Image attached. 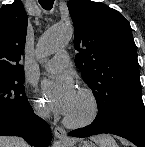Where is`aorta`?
<instances>
[{
    "mask_svg": "<svg viewBox=\"0 0 145 147\" xmlns=\"http://www.w3.org/2000/svg\"><path fill=\"white\" fill-rule=\"evenodd\" d=\"M73 28L68 23L57 24L46 30L37 45V57L42 59L64 47L72 36Z\"/></svg>",
    "mask_w": 145,
    "mask_h": 147,
    "instance_id": "1",
    "label": "aorta"
}]
</instances>
